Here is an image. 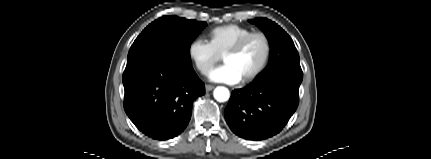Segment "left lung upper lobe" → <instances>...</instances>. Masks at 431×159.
Segmentation results:
<instances>
[{"mask_svg": "<svg viewBox=\"0 0 431 159\" xmlns=\"http://www.w3.org/2000/svg\"><path fill=\"white\" fill-rule=\"evenodd\" d=\"M249 22L257 25L270 42L271 53L268 66L256 79L279 71L302 73L299 54L290 36L275 22L267 18H256Z\"/></svg>", "mask_w": 431, "mask_h": 159, "instance_id": "left-lung-upper-lobe-1", "label": "left lung upper lobe"}]
</instances>
